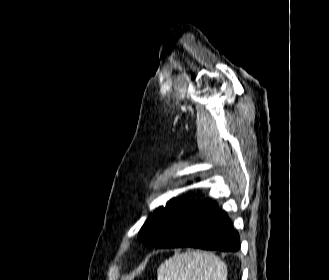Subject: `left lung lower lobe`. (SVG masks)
I'll return each instance as SVG.
<instances>
[{"mask_svg":"<svg viewBox=\"0 0 329 280\" xmlns=\"http://www.w3.org/2000/svg\"><path fill=\"white\" fill-rule=\"evenodd\" d=\"M161 234L170 239L164 248L195 247L220 251L240 248L239 235L230 219L209 199L173 204Z\"/></svg>","mask_w":329,"mask_h":280,"instance_id":"0a47b994","label":"left lung lower lobe"}]
</instances>
